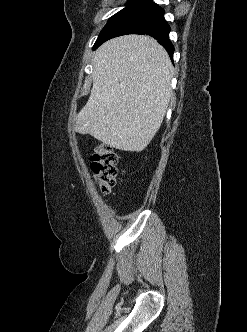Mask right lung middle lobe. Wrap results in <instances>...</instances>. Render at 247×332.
<instances>
[{"mask_svg": "<svg viewBox=\"0 0 247 332\" xmlns=\"http://www.w3.org/2000/svg\"><path fill=\"white\" fill-rule=\"evenodd\" d=\"M149 2L145 1V0H129L126 4V7L124 9H122L121 11H119L118 13H116L114 16H112L108 23L106 24V26L102 29V31L99 34V37L97 39V41L99 40L100 36L102 35V33L108 28L110 27L113 23H115L116 21H118L119 19H121L122 17H124L125 15H127L128 13L136 10L137 8L147 4ZM96 41V43H97ZM95 43V44H96ZM94 44V45H95Z\"/></svg>", "mask_w": 247, "mask_h": 332, "instance_id": "right-lung-middle-lobe-1", "label": "right lung middle lobe"}]
</instances>
